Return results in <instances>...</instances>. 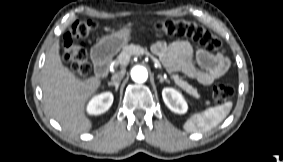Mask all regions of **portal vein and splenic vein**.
Masks as SVG:
<instances>
[{
	"label": "portal vein and splenic vein",
	"instance_id": "18ae733b",
	"mask_svg": "<svg viewBox=\"0 0 283 162\" xmlns=\"http://www.w3.org/2000/svg\"><path fill=\"white\" fill-rule=\"evenodd\" d=\"M147 55H149L151 57V59L153 60V62L155 63V66L162 69V66L160 64V62L158 61V59H156L155 57H153L152 55H150L148 52L146 53ZM130 57H126L123 61H121L122 65H126L129 62Z\"/></svg>",
	"mask_w": 283,
	"mask_h": 162
}]
</instances>
